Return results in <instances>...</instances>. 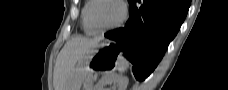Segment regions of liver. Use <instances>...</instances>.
Masks as SVG:
<instances>
[{"label": "liver", "mask_w": 228, "mask_h": 90, "mask_svg": "<svg viewBox=\"0 0 228 90\" xmlns=\"http://www.w3.org/2000/svg\"><path fill=\"white\" fill-rule=\"evenodd\" d=\"M102 40L103 37L75 36L66 42L57 56L54 67L53 83L55 90H65L77 62L91 49L97 47Z\"/></svg>", "instance_id": "1"}]
</instances>
